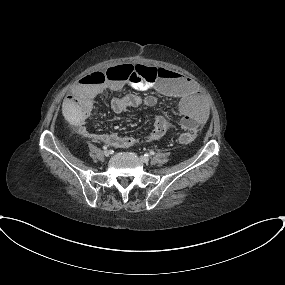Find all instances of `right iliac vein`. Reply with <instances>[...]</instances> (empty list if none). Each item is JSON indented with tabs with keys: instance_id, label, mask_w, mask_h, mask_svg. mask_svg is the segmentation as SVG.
<instances>
[{
	"instance_id": "obj_1",
	"label": "right iliac vein",
	"mask_w": 285,
	"mask_h": 285,
	"mask_svg": "<svg viewBox=\"0 0 285 285\" xmlns=\"http://www.w3.org/2000/svg\"><path fill=\"white\" fill-rule=\"evenodd\" d=\"M103 154H104V156L108 157L111 153H110V151L105 150V151L103 152Z\"/></svg>"
}]
</instances>
